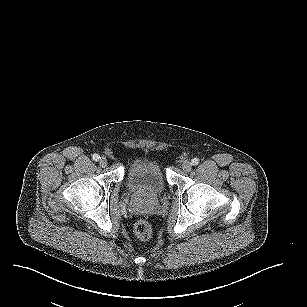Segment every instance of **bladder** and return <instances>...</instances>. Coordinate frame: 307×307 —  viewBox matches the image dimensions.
Masks as SVG:
<instances>
[{
	"mask_svg": "<svg viewBox=\"0 0 307 307\" xmlns=\"http://www.w3.org/2000/svg\"><path fill=\"white\" fill-rule=\"evenodd\" d=\"M166 178L159 160L139 155L129 162L126 187L153 196L166 189Z\"/></svg>",
	"mask_w": 307,
	"mask_h": 307,
	"instance_id": "bladder-1",
	"label": "bladder"
}]
</instances>
